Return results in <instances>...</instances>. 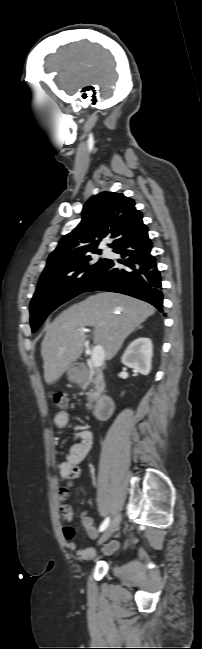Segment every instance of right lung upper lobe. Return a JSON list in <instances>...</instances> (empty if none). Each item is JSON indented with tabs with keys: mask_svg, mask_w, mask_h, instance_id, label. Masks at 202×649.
Returning <instances> with one entry per match:
<instances>
[{
	"mask_svg": "<svg viewBox=\"0 0 202 649\" xmlns=\"http://www.w3.org/2000/svg\"><path fill=\"white\" fill-rule=\"evenodd\" d=\"M147 228L133 199L121 193L102 192L92 196L82 211L79 225L59 242L49 255L41 278L69 271L80 257L97 250L99 242L110 236V247Z\"/></svg>",
	"mask_w": 202,
	"mask_h": 649,
	"instance_id": "obj_1",
	"label": "right lung upper lobe"
}]
</instances>
